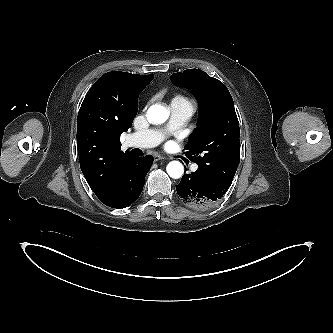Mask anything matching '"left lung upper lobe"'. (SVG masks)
Segmentation results:
<instances>
[{"label": "left lung upper lobe", "mask_w": 333, "mask_h": 333, "mask_svg": "<svg viewBox=\"0 0 333 333\" xmlns=\"http://www.w3.org/2000/svg\"><path fill=\"white\" fill-rule=\"evenodd\" d=\"M171 80L189 87L199 101L198 129L189 137L185 155L229 188L240 161V129L228 89L198 69L174 73Z\"/></svg>", "instance_id": "1"}]
</instances>
